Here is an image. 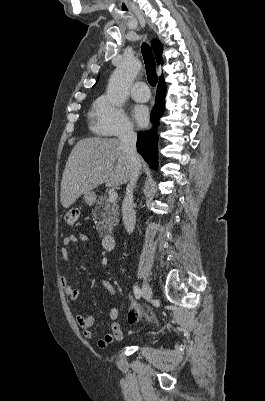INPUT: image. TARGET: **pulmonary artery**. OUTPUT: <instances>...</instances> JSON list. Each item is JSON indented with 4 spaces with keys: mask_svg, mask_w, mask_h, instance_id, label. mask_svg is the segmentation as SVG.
I'll list each match as a JSON object with an SVG mask.
<instances>
[{
    "mask_svg": "<svg viewBox=\"0 0 265 401\" xmlns=\"http://www.w3.org/2000/svg\"><path fill=\"white\" fill-rule=\"evenodd\" d=\"M148 88V81H143L140 77L136 78L135 91L131 92V97L140 102L149 101L151 94L148 92Z\"/></svg>",
    "mask_w": 265,
    "mask_h": 401,
    "instance_id": "1",
    "label": "pulmonary artery"
}]
</instances>
